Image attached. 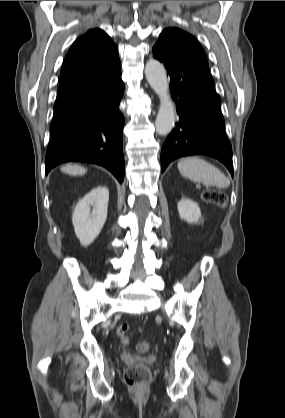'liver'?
<instances>
[{"label":"liver","mask_w":285,"mask_h":418,"mask_svg":"<svg viewBox=\"0 0 285 418\" xmlns=\"http://www.w3.org/2000/svg\"><path fill=\"white\" fill-rule=\"evenodd\" d=\"M61 171L72 176H80L84 175L87 170L80 165L67 164L61 168Z\"/></svg>","instance_id":"liver-1"}]
</instances>
